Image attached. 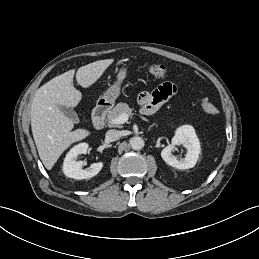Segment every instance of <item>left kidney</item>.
Segmentation results:
<instances>
[{
    "instance_id": "1",
    "label": "left kidney",
    "mask_w": 259,
    "mask_h": 259,
    "mask_svg": "<svg viewBox=\"0 0 259 259\" xmlns=\"http://www.w3.org/2000/svg\"><path fill=\"white\" fill-rule=\"evenodd\" d=\"M180 145H183L187 152L185 157L179 160L173 155V151L176 150V146ZM200 152V142L194 128L190 125H184L176 130L171 144L162 150L161 157L168 165L184 170L196 165Z\"/></svg>"
}]
</instances>
